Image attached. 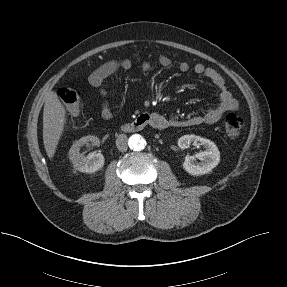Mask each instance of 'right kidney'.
<instances>
[{
  "label": "right kidney",
  "mask_w": 287,
  "mask_h": 287,
  "mask_svg": "<svg viewBox=\"0 0 287 287\" xmlns=\"http://www.w3.org/2000/svg\"><path fill=\"white\" fill-rule=\"evenodd\" d=\"M98 145L99 139L95 136H85L73 143L69 150V159L75 169L84 173H94L104 166V156L101 153H91L87 156L81 154L80 148L87 144Z\"/></svg>",
  "instance_id": "1"
}]
</instances>
